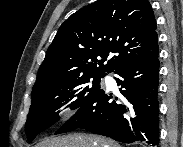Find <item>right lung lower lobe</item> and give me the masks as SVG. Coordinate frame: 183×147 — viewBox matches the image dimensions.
I'll use <instances>...</instances> for the list:
<instances>
[{
    "mask_svg": "<svg viewBox=\"0 0 183 147\" xmlns=\"http://www.w3.org/2000/svg\"><path fill=\"white\" fill-rule=\"evenodd\" d=\"M114 73L119 76L115 80L124 99L112 100L111 93L100 89L55 134L82 128L124 143L145 141L158 145V55L131 61Z\"/></svg>",
    "mask_w": 183,
    "mask_h": 147,
    "instance_id": "right-lung-lower-lobe-1",
    "label": "right lung lower lobe"
}]
</instances>
